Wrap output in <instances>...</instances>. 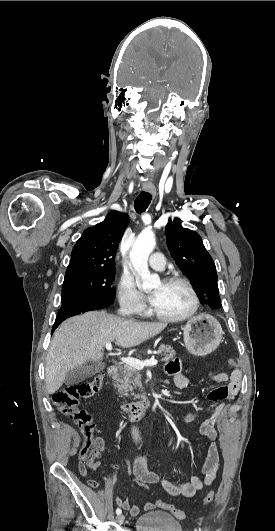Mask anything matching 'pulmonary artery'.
<instances>
[{"label": "pulmonary artery", "mask_w": 275, "mask_h": 531, "mask_svg": "<svg viewBox=\"0 0 275 531\" xmlns=\"http://www.w3.org/2000/svg\"><path fill=\"white\" fill-rule=\"evenodd\" d=\"M151 265L154 267V272L157 275L165 274L167 272V269L164 267V256L162 254L154 253L153 256H151Z\"/></svg>", "instance_id": "1"}]
</instances>
